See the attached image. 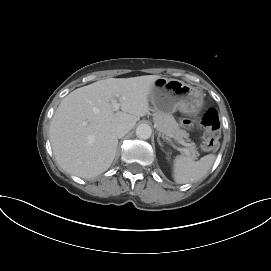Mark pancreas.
<instances>
[{
	"label": "pancreas",
	"mask_w": 271,
	"mask_h": 271,
	"mask_svg": "<svg viewBox=\"0 0 271 271\" xmlns=\"http://www.w3.org/2000/svg\"><path fill=\"white\" fill-rule=\"evenodd\" d=\"M154 122L157 130L163 134L173 137L180 143L188 147L189 157L196 159L199 156L195 143L190 142L189 133L180 128L179 124L176 122L175 118L171 114L157 112L154 114Z\"/></svg>",
	"instance_id": "1"
}]
</instances>
